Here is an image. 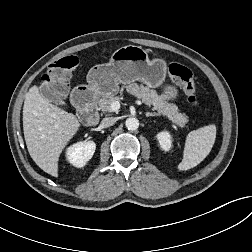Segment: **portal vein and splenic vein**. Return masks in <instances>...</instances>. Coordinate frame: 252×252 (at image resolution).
<instances>
[{
	"mask_svg": "<svg viewBox=\"0 0 252 252\" xmlns=\"http://www.w3.org/2000/svg\"><path fill=\"white\" fill-rule=\"evenodd\" d=\"M111 109L112 112H118V110L120 109V102L119 101H115L111 104Z\"/></svg>",
	"mask_w": 252,
	"mask_h": 252,
	"instance_id": "1",
	"label": "portal vein and splenic vein"
}]
</instances>
